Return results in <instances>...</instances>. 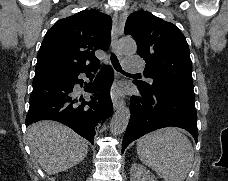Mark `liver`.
Here are the masks:
<instances>
[{
	"mask_svg": "<svg viewBox=\"0 0 228 181\" xmlns=\"http://www.w3.org/2000/svg\"><path fill=\"white\" fill-rule=\"evenodd\" d=\"M27 141L31 159L39 163L47 175H56L79 165L88 153L86 139L55 121L29 125Z\"/></svg>",
	"mask_w": 228,
	"mask_h": 181,
	"instance_id": "1",
	"label": "liver"
}]
</instances>
